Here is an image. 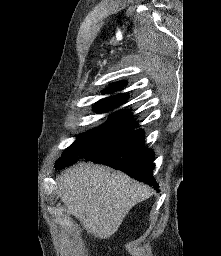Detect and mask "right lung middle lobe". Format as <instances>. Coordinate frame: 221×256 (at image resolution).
Returning a JSON list of instances; mask_svg holds the SVG:
<instances>
[{"label": "right lung middle lobe", "instance_id": "dd1d6c3e", "mask_svg": "<svg viewBox=\"0 0 221 256\" xmlns=\"http://www.w3.org/2000/svg\"><path fill=\"white\" fill-rule=\"evenodd\" d=\"M110 109L96 110L98 113ZM136 127V123L131 121L129 114L117 111L110 115L109 120L97 128H93L80 135L77 140L63 152L55 167L62 169L65 166L74 164L78 159L85 158L98 148L112 142L122 135L128 133Z\"/></svg>", "mask_w": 221, "mask_h": 256}]
</instances>
